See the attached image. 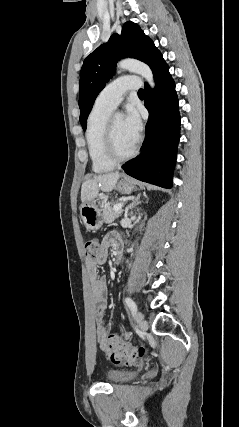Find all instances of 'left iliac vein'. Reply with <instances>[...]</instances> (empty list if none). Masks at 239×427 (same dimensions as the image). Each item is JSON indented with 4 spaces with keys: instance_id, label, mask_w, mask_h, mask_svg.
I'll use <instances>...</instances> for the list:
<instances>
[{
    "instance_id": "1",
    "label": "left iliac vein",
    "mask_w": 239,
    "mask_h": 427,
    "mask_svg": "<svg viewBox=\"0 0 239 427\" xmlns=\"http://www.w3.org/2000/svg\"><path fill=\"white\" fill-rule=\"evenodd\" d=\"M135 320L142 331H146L148 329V323L144 320V316L141 312L135 313Z\"/></svg>"
}]
</instances>
